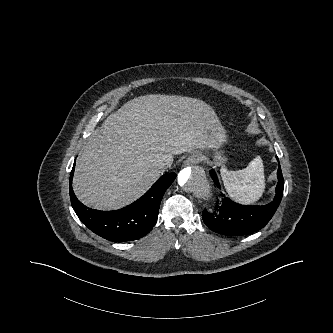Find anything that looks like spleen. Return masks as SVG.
Returning <instances> with one entry per match:
<instances>
[{
	"mask_svg": "<svg viewBox=\"0 0 333 333\" xmlns=\"http://www.w3.org/2000/svg\"><path fill=\"white\" fill-rule=\"evenodd\" d=\"M221 177L229 196L241 204H254L265 191V173L262 158L255 157L242 170L221 169Z\"/></svg>",
	"mask_w": 333,
	"mask_h": 333,
	"instance_id": "spleen-1",
	"label": "spleen"
}]
</instances>
